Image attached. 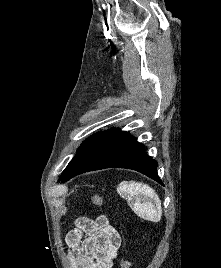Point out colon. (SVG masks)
<instances>
[{
	"instance_id": "5ec220e1",
	"label": "colon",
	"mask_w": 221,
	"mask_h": 268,
	"mask_svg": "<svg viewBox=\"0 0 221 268\" xmlns=\"http://www.w3.org/2000/svg\"><path fill=\"white\" fill-rule=\"evenodd\" d=\"M91 202L94 206L99 207L103 204V198L100 195H93ZM120 268H132V262L127 257H123L120 260Z\"/></svg>"
}]
</instances>
